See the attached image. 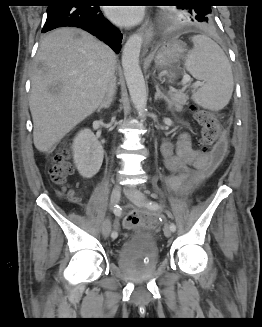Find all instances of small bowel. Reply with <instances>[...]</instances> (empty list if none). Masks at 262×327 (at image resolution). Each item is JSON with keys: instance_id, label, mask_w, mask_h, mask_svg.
I'll use <instances>...</instances> for the list:
<instances>
[{"instance_id": "c3829d8e", "label": "small bowel", "mask_w": 262, "mask_h": 327, "mask_svg": "<svg viewBox=\"0 0 262 327\" xmlns=\"http://www.w3.org/2000/svg\"><path fill=\"white\" fill-rule=\"evenodd\" d=\"M162 154L170 172L167 185L173 190H190L217 165L208 164L209 155L195 150L189 136L185 133L179 136L175 145L165 141L162 144Z\"/></svg>"}]
</instances>
